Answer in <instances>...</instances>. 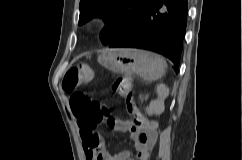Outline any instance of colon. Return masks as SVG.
I'll list each match as a JSON object with an SVG mask.
<instances>
[{
	"instance_id": "1",
	"label": "colon",
	"mask_w": 242,
	"mask_h": 160,
	"mask_svg": "<svg viewBox=\"0 0 242 160\" xmlns=\"http://www.w3.org/2000/svg\"><path fill=\"white\" fill-rule=\"evenodd\" d=\"M92 79V71L85 64L72 66L65 74L62 81V88L65 92L72 93L70 108L73 114L80 119L81 125L87 129L85 139L88 145H92L97 140L96 127L107 114L106 109L101 108L98 101H91L86 94L77 89ZM112 90L126 100L127 111L132 118L141 113L138 107L132 102V83L128 76L117 78Z\"/></svg>"
}]
</instances>
